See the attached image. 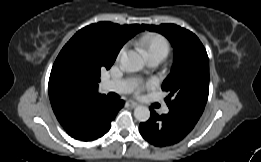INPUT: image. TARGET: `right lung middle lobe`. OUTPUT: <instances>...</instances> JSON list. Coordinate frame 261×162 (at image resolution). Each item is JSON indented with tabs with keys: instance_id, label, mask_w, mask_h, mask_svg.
Wrapping results in <instances>:
<instances>
[{
	"instance_id": "obj_1",
	"label": "right lung middle lobe",
	"mask_w": 261,
	"mask_h": 162,
	"mask_svg": "<svg viewBox=\"0 0 261 162\" xmlns=\"http://www.w3.org/2000/svg\"><path fill=\"white\" fill-rule=\"evenodd\" d=\"M107 39L103 47H107ZM105 44V45H104ZM100 69V53L79 55L69 50H61L50 77L54 84L63 89L74 88Z\"/></svg>"
}]
</instances>
